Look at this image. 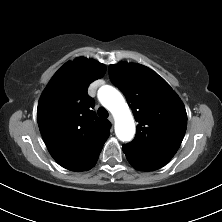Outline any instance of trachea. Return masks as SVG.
Masks as SVG:
<instances>
[{
  "mask_svg": "<svg viewBox=\"0 0 222 222\" xmlns=\"http://www.w3.org/2000/svg\"><path fill=\"white\" fill-rule=\"evenodd\" d=\"M97 113L101 118H107L109 116L107 110L102 107L98 109Z\"/></svg>",
  "mask_w": 222,
  "mask_h": 222,
  "instance_id": "trachea-1",
  "label": "trachea"
}]
</instances>
